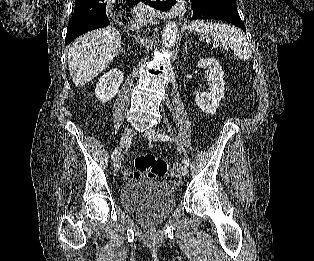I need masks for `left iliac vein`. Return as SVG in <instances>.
Here are the masks:
<instances>
[{"mask_svg":"<svg viewBox=\"0 0 314 261\" xmlns=\"http://www.w3.org/2000/svg\"><path fill=\"white\" fill-rule=\"evenodd\" d=\"M144 135L150 141H157V137H156L157 133L154 129L146 130ZM181 173H182L183 177L189 176V170H188V167L186 165L181 166Z\"/></svg>","mask_w":314,"mask_h":261,"instance_id":"4c4485c4","label":"left iliac vein"}]
</instances>
